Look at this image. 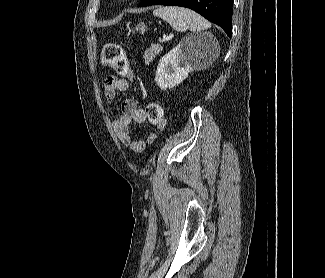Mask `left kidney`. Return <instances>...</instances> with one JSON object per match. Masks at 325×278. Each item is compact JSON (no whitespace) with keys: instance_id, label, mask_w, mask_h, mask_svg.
I'll use <instances>...</instances> for the list:
<instances>
[{"instance_id":"left-kidney-1","label":"left kidney","mask_w":325,"mask_h":278,"mask_svg":"<svg viewBox=\"0 0 325 278\" xmlns=\"http://www.w3.org/2000/svg\"><path fill=\"white\" fill-rule=\"evenodd\" d=\"M199 45V40L185 38L160 59L155 82L162 90L174 88L194 71L193 61L200 55Z\"/></svg>"}]
</instances>
